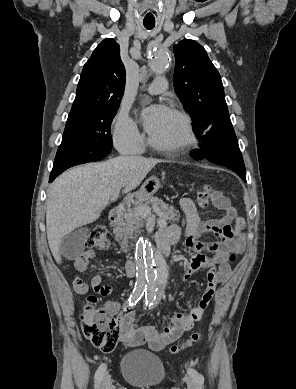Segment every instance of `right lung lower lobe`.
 I'll list each match as a JSON object with an SVG mask.
<instances>
[{"mask_svg":"<svg viewBox=\"0 0 296 389\" xmlns=\"http://www.w3.org/2000/svg\"><path fill=\"white\" fill-rule=\"evenodd\" d=\"M65 170L66 169H54L53 168L51 171V174H50L49 182H52L58 175H60Z\"/></svg>","mask_w":296,"mask_h":389,"instance_id":"obj_1","label":"right lung lower lobe"}]
</instances>
